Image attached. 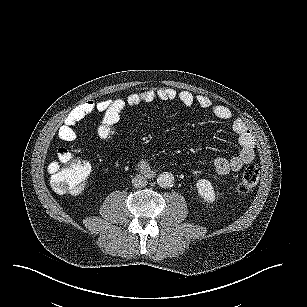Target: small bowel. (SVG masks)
Wrapping results in <instances>:
<instances>
[{"instance_id":"c3829d8e","label":"small bowel","mask_w":307,"mask_h":307,"mask_svg":"<svg viewBox=\"0 0 307 307\" xmlns=\"http://www.w3.org/2000/svg\"><path fill=\"white\" fill-rule=\"evenodd\" d=\"M178 100L183 105L190 107L197 105L202 109L209 110L220 120H231L232 111L223 104H215L205 95H193L189 91H177L172 88H160L156 90H146L129 94L126 97L116 99H106L99 102L86 101L72 109L64 119L63 125L58 131L59 138L64 142H73L77 138L74 127L85 117L98 111L102 113V120L98 127L97 134L101 140L109 141L120 120V116L125 107H135L143 103L154 101H174ZM232 130L238 137L241 147L240 152L231 157H216L213 161V168L219 175L229 172L240 171L246 164L251 163L255 158V140L248 130L246 124L241 119L232 120Z\"/></svg>"}]
</instances>
